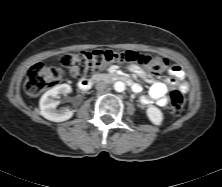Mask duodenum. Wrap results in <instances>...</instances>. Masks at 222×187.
I'll use <instances>...</instances> for the list:
<instances>
[{"instance_id": "410a0bca", "label": "duodenum", "mask_w": 222, "mask_h": 187, "mask_svg": "<svg viewBox=\"0 0 222 187\" xmlns=\"http://www.w3.org/2000/svg\"><path fill=\"white\" fill-rule=\"evenodd\" d=\"M96 80H113V81H123V82H127L130 83L131 82V77L122 73H110L107 75H96L94 77L93 80H81L79 83V89L86 91L88 89H90V87L92 86L93 81Z\"/></svg>"}]
</instances>
